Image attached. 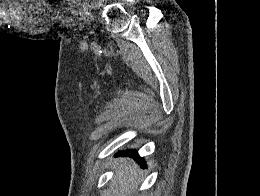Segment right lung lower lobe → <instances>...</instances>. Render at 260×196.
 Listing matches in <instances>:
<instances>
[{
  "instance_id": "98d812e1",
  "label": "right lung lower lobe",
  "mask_w": 260,
  "mask_h": 196,
  "mask_svg": "<svg viewBox=\"0 0 260 196\" xmlns=\"http://www.w3.org/2000/svg\"><path fill=\"white\" fill-rule=\"evenodd\" d=\"M133 156L135 159L138 160V162H143V160L139 157V155L137 154V152L135 150H127L124 153H118L117 156Z\"/></svg>"
}]
</instances>
